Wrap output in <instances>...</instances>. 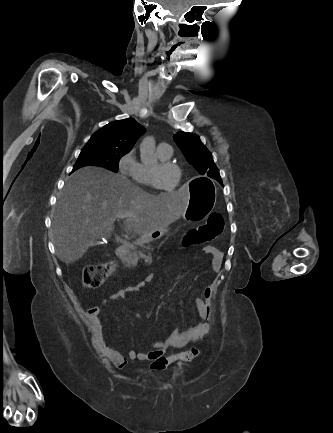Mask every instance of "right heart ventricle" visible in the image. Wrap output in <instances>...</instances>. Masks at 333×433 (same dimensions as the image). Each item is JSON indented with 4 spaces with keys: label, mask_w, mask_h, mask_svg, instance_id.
<instances>
[{
    "label": "right heart ventricle",
    "mask_w": 333,
    "mask_h": 433,
    "mask_svg": "<svg viewBox=\"0 0 333 433\" xmlns=\"http://www.w3.org/2000/svg\"><path fill=\"white\" fill-rule=\"evenodd\" d=\"M158 158L160 161H168L170 157H167L161 153L158 152ZM150 167L145 164H140V170L139 174L136 178V181L139 184H142L147 187L154 188L155 186L152 183L151 176H150Z\"/></svg>",
    "instance_id": "e07e8e85"
}]
</instances>
